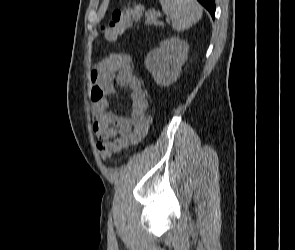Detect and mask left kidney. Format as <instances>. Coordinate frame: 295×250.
<instances>
[{
  "label": "left kidney",
  "instance_id": "obj_1",
  "mask_svg": "<svg viewBox=\"0 0 295 250\" xmlns=\"http://www.w3.org/2000/svg\"><path fill=\"white\" fill-rule=\"evenodd\" d=\"M188 52L189 45L186 41L171 37L147 54L145 66L157 85L168 87L177 80Z\"/></svg>",
  "mask_w": 295,
  "mask_h": 250
}]
</instances>
